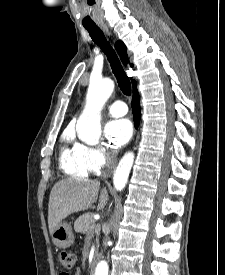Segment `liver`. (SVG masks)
<instances>
[{
    "label": "liver",
    "instance_id": "6515ba94",
    "mask_svg": "<svg viewBox=\"0 0 225 275\" xmlns=\"http://www.w3.org/2000/svg\"><path fill=\"white\" fill-rule=\"evenodd\" d=\"M99 188L100 183L97 180L72 177L57 182L50 192L48 204L50 234L69 215L90 208L97 200ZM107 200V190L102 189L98 209H103Z\"/></svg>",
    "mask_w": 225,
    "mask_h": 275
}]
</instances>
